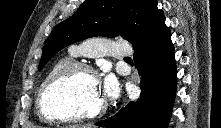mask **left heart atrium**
<instances>
[{"label":"left heart atrium","instance_id":"obj_1","mask_svg":"<svg viewBox=\"0 0 221 128\" xmlns=\"http://www.w3.org/2000/svg\"><path fill=\"white\" fill-rule=\"evenodd\" d=\"M102 91L105 96H108L110 98L116 97L117 92H118V88H117L116 82L112 76L108 75L105 78L104 84L102 86Z\"/></svg>","mask_w":221,"mask_h":128}]
</instances>
